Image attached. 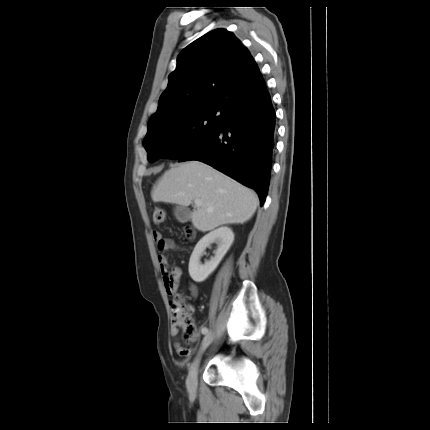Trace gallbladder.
Returning a JSON list of instances; mask_svg holds the SVG:
<instances>
[{"label": "gallbladder", "instance_id": "1", "mask_svg": "<svg viewBox=\"0 0 430 430\" xmlns=\"http://www.w3.org/2000/svg\"><path fill=\"white\" fill-rule=\"evenodd\" d=\"M174 215L180 223H185L190 219L191 211L185 206L176 205L174 208Z\"/></svg>", "mask_w": 430, "mask_h": 430}]
</instances>
